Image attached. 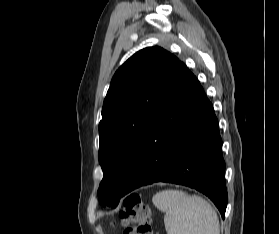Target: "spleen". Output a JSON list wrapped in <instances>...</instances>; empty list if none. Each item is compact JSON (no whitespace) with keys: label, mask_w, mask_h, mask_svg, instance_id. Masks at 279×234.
<instances>
[{"label":"spleen","mask_w":279,"mask_h":234,"mask_svg":"<svg viewBox=\"0 0 279 234\" xmlns=\"http://www.w3.org/2000/svg\"><path fill=\"white\" fill-rule=\"evenodd\" d=\"M152 201L165 213L167 234H220L215 210L200 196L165 190L156 193Z\"/></svg>","instance_id":"obj_1"}]
</instances>
